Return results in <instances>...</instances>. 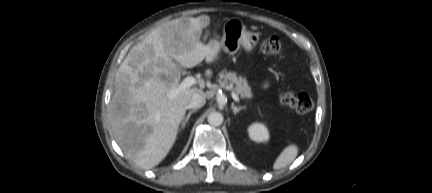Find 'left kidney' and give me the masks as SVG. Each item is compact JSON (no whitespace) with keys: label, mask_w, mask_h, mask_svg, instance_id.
Listing matches in <instances>:
<instances>
[{"label":"left kidney","mask_w":432,"mask_h":193,"mask_svg":"<svg viewBox=\"0 0 432 193\" xmlns=\"http://www.w3.org/2000/svg\"><path fill=\"white\" fill-rule=\"evenodd\" d=\"M249 137L255 142H266L269 140V131L262 123H253L248 127Z\"/></svg>","instance_id":"left-kidney-1"}]
</instances>
